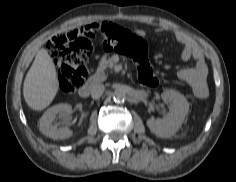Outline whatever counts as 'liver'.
Masks as SVG:
<instances>
[{
  "label": "liver",
  "instance_id": "1",
  "mask_svg": "<svg viewBox=\"0 0 236 182\" xmlns=\"http://www.w3.org/2000/svg\"><path fill=\"white\" fill-rule=\"evenodd\" d=\"M58 89L53 60L46 49H40L24 80L25 102L31 109L41 111L51 104Z\"/></svg>",
  "mask_w": 236,
  "mask_h": 182
}]
</instances>
